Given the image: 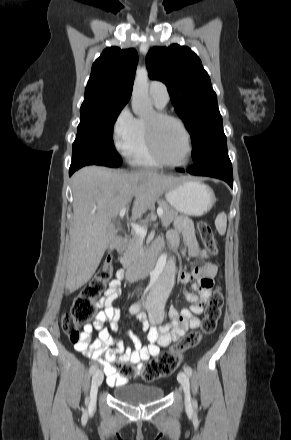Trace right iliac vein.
<instances>
[{
  "mask_svg": "<svg viewBox=\"0 0 291 440\" xmlns=\"http://www.w3.org/2000/svg\"><path fill=\"white\" fill-rule=\"evenodd\" d=\"M103 377H104L103 372L101 370H96L92 377V383L90 388V401H89L90 406H94L96 403L98 388L103 382Z\"/></svg>",
  "mask_w": 291,
  "mask_h": 440,
  "instance_id": "obj_1",
  "label": "right iliac vein"
}]
</instances>
